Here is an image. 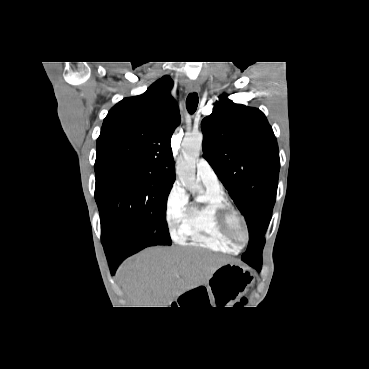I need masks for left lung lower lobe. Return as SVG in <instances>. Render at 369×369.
I'll list each match as a JSON object with an SVG mask.
<instances>
[{
  "label": "left lung lower lobe",
  "instance_id": "left-lung-lower-lobe-1",
  "mask_svg": "<svg viewBox=\"0 0 369 369\" xmlns=\"http://www.w3.org/2000/svg\"><path fill=\"white\" fill-rule=\"evenodd\" d=\"M250 265L251 267L255 268L257 271H260L261 270V266L262 264H248Z\"/></svg>",
  "mask_w": 369,
  "mask_h": 369
}]
</instances>
